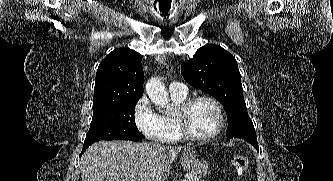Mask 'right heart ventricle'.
<instances>
[{"mask_svg": "<svg viewBox=\"0 0 333 181\" xmlns=\"http://www.w3.org/2000/svg\"><path fill=\"white\" fill-rule=\"evenodd\" d=\"M186 97H187V95H183V96L171 95V99H172V101H173V103L176 107L179 104H181L186 99ZM163 118L168 123V125L170 127V131H169V134L162 141H164V142L180 141L183 138V136L180 132V129H179L177 121L174 117V114L173 115H165V116H163Z\"/></svg>", "mask_w": 333, "mask_h": 181, "instance_id": "e07e8e85", "label": "right heart ventricle"}]
</instances>
